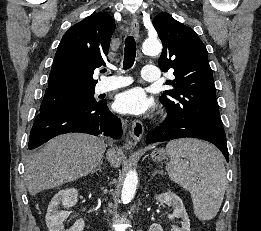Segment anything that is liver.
Listing matches in <instances>:
<instances>
[{"label": "liver", "mask_w": 261, "mask_h": 231, "mask_svg": "<svg viewBox=\"0 0 261 231\" xmlns=\"http://www.w3.org/2000/svg\"><path fill=\"white\" fill-rule=\"evenodd\" d=\"M103 139L70 133L51 139L31 156L25 166V180L31 195L72 182L91 173L105 153ZM108 160L118 167L125 156L120 150H110Z\"/></svg>", "instance_id": "6515ba94"}]
</instances>
